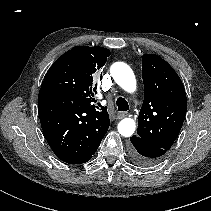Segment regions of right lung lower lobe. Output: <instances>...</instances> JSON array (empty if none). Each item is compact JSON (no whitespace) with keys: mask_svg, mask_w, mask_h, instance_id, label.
<instances>
[{"mask_svg":"<svg viewBox=\"0 0 211 211\" xmlns=\"http://www.w3.org/2000/svg\"><path fill=\"white\" fill-rule=\"evenodd\" d=\"M38 112L45 138L55 155L69 164L89 161L110 120L85 110L72 96L40 88Z\"/></svg>","mask_w":211,"mask_h":211,"instance_id":"right-lung-lower-lobe-1","label":"right lung lower lobe"}]
</instances>
